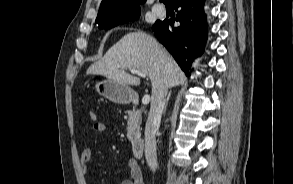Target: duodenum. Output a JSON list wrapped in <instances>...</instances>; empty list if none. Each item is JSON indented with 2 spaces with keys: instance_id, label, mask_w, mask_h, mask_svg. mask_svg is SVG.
Segmentation results:
<instances>
[{
  "instance_id": "410a0bca",
  "label": "duodenum",
  "mask_w": 293,
  "mask_h": 184,
  "mask_svg": "<svg viewBox=\"0 0 293 184\" xmlns=\"http://www.w3.org/2000/svg\"><path fill=\"white\" fill-rule=\"evenodd\" d=\"M137 101V99H135ZM132 153L135 158H141L144 151V140L142 137H136L132 140Z\"/></svg>"
}]
</instances>
